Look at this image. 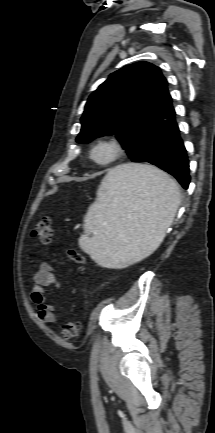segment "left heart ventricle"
Masks as SVG:
<instances>
[{"label":"left heart ventricle","mask_w":215,"mask_h":433,"mask_svg":"<svg viewBox=\"0 0 215 433\" xmlns=\"http://www.w3.org/2000/svg\"><path fill=\"white\" fill-rule=\"evenodd\" d=\"M107 154H108L107 149H100L97 151L96 156L98 158H105L107 156Z\"/></svg>","instance_id":"b2bd125f"}]
</instances>
